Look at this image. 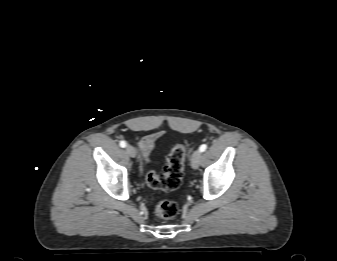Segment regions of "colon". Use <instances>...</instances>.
Here are the masks:
<instances>
[{
	"mask_svg": "<svg viewBox=\"0 0 337 261\" xmlns=\"http://www.w3.org/2000/svg\"><path fill=\"white\" fill-rule=\"evenodd\" d=\"M187 146L176 144L167 157V163L162 175L149 172L146 176V183L154 189L163 191H173L182 182L184 161ZM179 211L178 204L174 201H161L155 207V215L163 220L173 219Z\"/></svg>",
	"mask_w": 337,
	"mask_h": 261,
	"instance_id": "5ec220e1",
	"label": "colon"
}]
</instances>
